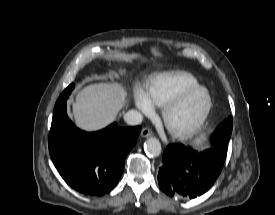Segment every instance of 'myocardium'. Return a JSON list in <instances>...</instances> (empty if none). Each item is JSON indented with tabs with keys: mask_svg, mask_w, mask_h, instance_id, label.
Listing matches in <instances>:
<instances>
[{
	"mask_svg": "<svg viewBox=\"0 0 275 215\" xmlns=\"http://www.w3.org/2000/svg\"><path fill=\"white\" fill-rule=\"evenodd\" d=\"M196 92H203L206 95V106L204 108V111L198 121L192 125L191 127L184 129V130H179L174 128L171 123H170V115L171 113L190 95L196 93ZM213 107V100L212 96L209 92V90L201 85H197L194 87L187 88L180 93H178L175 97H173L170 101H168L163 109V121L165 126L167 127L168 131L170 134L178 139L181 140H186L191 137H193L195 134H197L204 124L206 123L210 112Z\"/></svg>",
	"mask_w": 275,
	"mask_h": 215,
	"instance_id": "obj_1",
	"label": "myocardium"
}]
</instances>
